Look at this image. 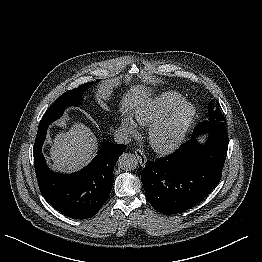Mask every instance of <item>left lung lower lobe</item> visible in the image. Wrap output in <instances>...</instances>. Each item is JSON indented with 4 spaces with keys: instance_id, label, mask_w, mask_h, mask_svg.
<instances>
[{
    "instance_id": "obj_1",
    "label": "left lung lower lobe",
    "mask_w": 262,
    "mask_h": 262,
    "mask_svg": "<svg viewBox=\"0 0 262 262\" xmlns=\"http://www.w3.org/2000/svg\"><path fill=\"white\" fill-rule=\"evenodd\" d=\"M202 145L193 134L172 154L148 161L141 180L148 201L163 214L183 212L202 201L221 179L228 149L227 133L208 132Z\"/></svg>"
}]
</instances>
